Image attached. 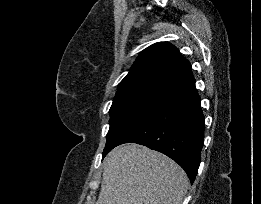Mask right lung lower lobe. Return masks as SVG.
Returning a JSON list of instances; mask_svg holds the SVG:
<instances>
[{
    "label": "right lung lower lobe",
    "mask_w": 261,
    "mask_h": 204,
    "mask_svg": "<svg viewBox=\"0 0 261 204\" xmlns=\"http://www.w3.org/2000/svg\"><path fill=\"white\" fill-rule=\"evenodd\" d=\"M204 115L195 79L170 91L165 99L127 131L114 147L128 142L159 151L178 163L194 182L204 139Z\"/></svg>",
    "instance_id": "1"
}]
</instances>
